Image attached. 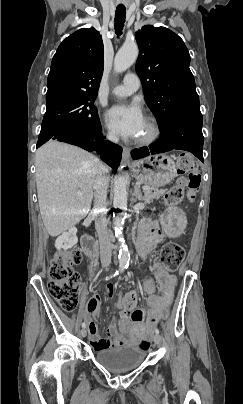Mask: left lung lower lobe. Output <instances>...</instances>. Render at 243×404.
Listing matches in <instances>:
<instances>
[{"instance_id":"1","label":"left lung lower lobe","mask_w":243,"mask_h":404,"mask_svg":"<svg viewBox=\"0 0 243 404\" xmlns=\"http://www.w3.org/2000/svg\"><path fill=\"white\" fill-rule=\"evenodd\" d=\"M161 130L160 139L149 147L134 149L133 159H140L150 154L166 152L172 149L185 150L193 153L202 162L203 142L202 115L182 113L169 120Z\"/></svg>"}]
</instances>
